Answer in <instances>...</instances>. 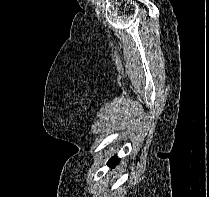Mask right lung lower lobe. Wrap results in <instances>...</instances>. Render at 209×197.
Returning <instances> with one entry per match:
<instances>
[{
    "mask_svg": "<svg viewBox=\"0 0 209 197\" xmlns=\"http://www.w3.org/2000/svg\"><path fill=\"white\" fill-rule=\"evenodd\" d=\"M119 163V159L116 157V156H114V157H112L110 160H109V165H111V166H115V165H117Z\"/></svg>",
    "mask_w": 209,
    "mask_h": 197,
    "instance_id": "1",
    "label": "right lung lower lobe"
}]
</instances>
